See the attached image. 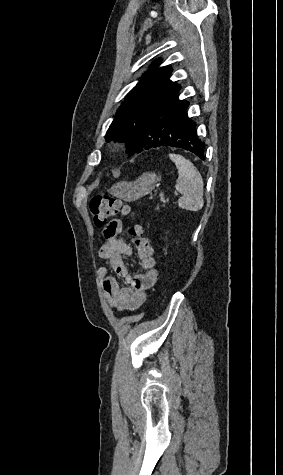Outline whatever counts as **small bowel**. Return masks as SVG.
<instances>
[{
	"label": "small bowel",
	"mask_w": 283,
	"mask_h": 475,
	"mask_svg": "<svg viewBox=\"0 0 283 475\" xmlns=\"http://www.w3.org/2000/svg\"><path fill=\"white\" fill-rule=\"evenodd\" d=\"M102 228V234L106 241L99 249V257L106 261L114 273L126 282V286H120L117 279L108 274L105 266H99L97 275L105 298L110 307L118 312L136 311L146 300V291L156 283L158 271L155 269L153 274L138 273L131 276L123 257L131 256L133 250L125 241L118 239L121 234L119 221L108 219ZM141 275L145 278L142 282L138 279Z\"/></svg>",
	"instance_id": "small-bowel-1"
}]
</instances>
